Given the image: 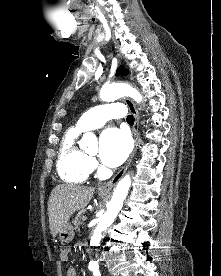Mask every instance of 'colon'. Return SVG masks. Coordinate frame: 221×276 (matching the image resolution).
Returning <instances> with one entry per match:
<instances>
[{
  "label": "colon",
  "mask_w": 221,
  "mask_h": 276,
  "mask_svg": "<svg viewBox=\"0 0 221 276\" xmlns=\"http://www.w3.org/2000/svg\"><path fill=\"white\" fill-rule=\"evenodd\" d=\"M54 250L60 251V253L62 254L64 251L67 250V244H54Z\"/></svg>",
  "instance_id": "obj_1"
}]
</instances>
